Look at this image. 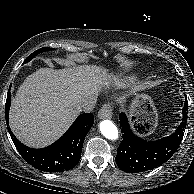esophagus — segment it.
<instances>
[{"mask_svg": "<svg viewBox=\"0 0 194 194\" xmlns=\"http://www.w3.org/2000/svg\"><path fill=\"white\" fill-rule=\"evenodd\" d=\"M98 117L100 119H106V118H111L112 117V108L110 105L105 104L103 107L100 109Z\"/></svg>", "mask_w": 194, "mask_h": 194, "instance_id": "34e87169", "label": "esophagus"}]
</instances>
